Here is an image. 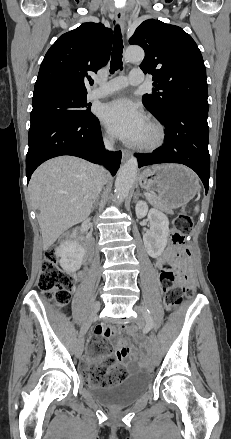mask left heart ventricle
Returning <instances> with one entry per match:
<instances>
[{
    "label": "left heart ventricle",
    "instance_id": "obj_1",
    "mask_svg": "<svg viewBox=\"0 0 231 439\" xmlns=\"http://www.w3.org/2000/svg\"><path fill=\"white\" fill-rule=\"evenodd\" d=\"M150 136H151V129H150V127L147 125V128H146V130H145V132H144V135H143L141 141L148 139Z\"/></svg>",
    "mask_w": 231,
    "mask_h": 439
}]
</instances>
